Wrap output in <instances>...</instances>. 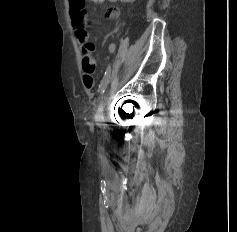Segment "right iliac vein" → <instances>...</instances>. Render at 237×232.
Wrapping results in <instances>:
<instances>
[{
  "instance_id": "1",
  "label": "right iliac vein",
  "mask_w": 237,
  "mask_h": 232,
  "mask_svg": "<svg viewBox=\"0 0 237 232\" xmlns=\"http://www.w3.org/2000/svg\"><path fill=\"white\" fill-rule=\"evenodd\" d=\"M106 100H107V93L104 95V97H103V99L101 101V104L99 106V109L97 111V115H96L97 119H101L103 117V111H104Z\"/></svg>"
}]
</instances>
